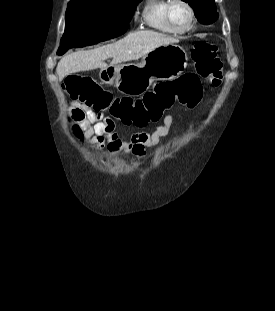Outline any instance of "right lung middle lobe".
I'll list each match as a JSON object with an SVG mask.
<instances>
[{"label": "right lung middle lobe", "instance_id": "right-lung-middle-lobe-1", "mask_svg": "<svg viewBox=\"0 0 275 311\" xmlns=\"http://www.w3.org/2000/svg\"><path fill=\"white\" fill-rule=\"evenodd\" d=\"M141 0L70 1L65 33L57 54L116 37L128 23Z\"/></svg>", "mask_w": 275, "mask_h": 311}]
</instances>
